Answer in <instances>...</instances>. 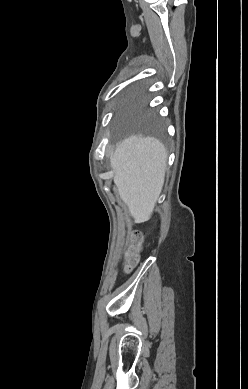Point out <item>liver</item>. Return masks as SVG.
Segmentation results:
<instances>
[{
	"instance_id": "6515ba94",
	"label": "liver",
	"mask_w": 248,
	"mask_h": 389,
	"mask_svg": "<svg viewBox=\"0 0 248 389\" xmlns=\"http://www.w3.org/2000/svg\"><path fill=\"white\" fill-rule=\"evenodd\" d=\"M114 183L137 222L150 218L164 184L167 152L154 137L129 136L110 160Z\"/></svg>"
}]
</instances>
